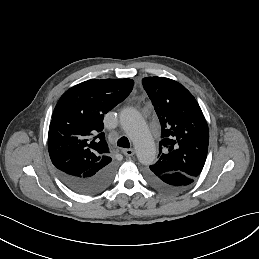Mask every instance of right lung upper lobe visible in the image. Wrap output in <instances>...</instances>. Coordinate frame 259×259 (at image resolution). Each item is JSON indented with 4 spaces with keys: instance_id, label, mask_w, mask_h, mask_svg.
<instances>
[{
    "instance_id": "obj_1",
    "label": "right lung upper lobe",
    "mask_w": 259,
    "mask_h": 259,
    "mask_svg": "<svg viewBox=\"0 0 259 259\" xmlns=\"http://www.w3.org/2000/svg\"><path fill=\"white\" fill-rule=\"evenodd\" d=\"M131 79L88 80L59 99L48 132L53 165L64 173L91 176L112 161L103 131L104 114L132 91Z\"/></svg>"
}]
</instances>
